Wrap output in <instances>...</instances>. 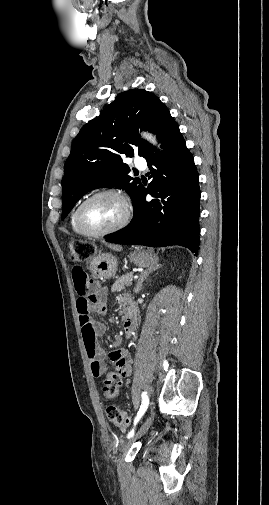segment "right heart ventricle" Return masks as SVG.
I'll list each match as a JSON object with an SVG mask.
<instances>
[{
	"mask_svg": "<svg viewBox=\"0 0 269 505\" xmlns=\"http://www.w3.org/2000/svg\"><path fill=\"white\" fill-rule=\"evenodd\" d=\"M78 206H76L75 209L71 213V216H70V226H71V229L73 230V232L75 234H77V235H84V233L78 228V226L76 224L75 217H76V211H77Z\"/></svg>",
	"mask_w": 269,
	"mask_h": 505,
	"instance_id": "obj_1",
	"label": "right heart ventricle"
}]
</instances>
